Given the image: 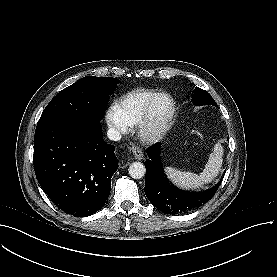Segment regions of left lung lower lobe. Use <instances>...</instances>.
I'll use <instances>...</instances> for the list:
<instances>
[{"label":"left lung lower lobe","mask_w":277,"mask_h":277,"mask_svg":"<svg viewBox=\"0 0 277 277\" xmlns=\"http://www.w3.org/2000/svg\"><path fill=\"white\" fill-rule=\"evenodd\" d=\"M160 148V143L149 147L147 149L149 159L145 162V194L153 206L165 214H180L194 210L214 196L219 183L199 193L183 192L172 186L163 173Z\"/></svg>","instance_id":"0a47b994"}]
</instances>
